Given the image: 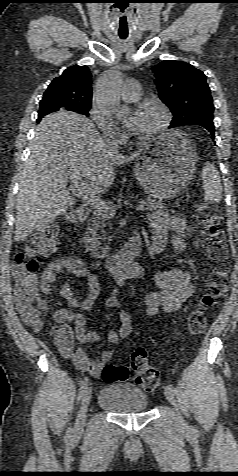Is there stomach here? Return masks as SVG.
<instances>
[{
	"label": "stomach",
	"mask_w": 238,
	"mask_h": 476,
	"mask_svg": "<svg viewBox=\"0 0 238 476\" xmlns=\"http://www.w3.org/2000/svg\"><path fill=\"white\" fill-rule=\"evenodd\" d=\"M197 152L180 131L155 138L134 166L138 183L152 197L174 198L180 194L196 170Z\"/></svg>",
	"instance_id": "obj_1"
}]
</instances>
